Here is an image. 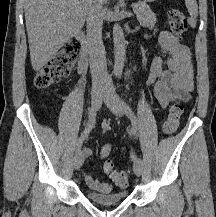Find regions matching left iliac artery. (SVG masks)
Returning a JSON list of instances; mask_svg holds the SVG:
<instances>
[{
	"instance_id": "44dca946",
	"label": "left iliac artery",
	"mask_w": 216,
	"mask_h": 217,
	"mask_svg": "<svg viewBox=\"0 0 216 217\" xmlns=\"http://www.w3.org/2000/svg\"><path fill=\"white\" fill-rule=\"evenodd\" d=\"M121 102H122V106H123L125 114L128 116V118L132 122L131 133L135 136L137 134V119H136V116H135L134 112L132 111V109L130 108V106L125 102V100L122 99ZM130 158L133 161H138L139 160L137 155L133 151L130 153Z\"/></svg>"
}]
</instances>
